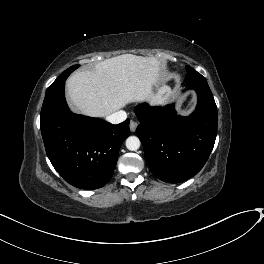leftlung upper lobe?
Returning a JSON list of instances; mask_svg holds the SVG:
<instances>
[{
    "label": "left lung upper lobe",
    "mask_w": 264,
    "mask_h": 264,
    "mask_svg": "<svg viewBox=\"0 0 264 264\" xmlns=\"http://www.w3.org/2000/svg\"><path fill=\"white\" fill-rule=\"evenodd\" d=\"M186 69H187L186 80H203V79H205L201 74H199L192 67L187 66Z\"/></svg>",
    "instance_id": "left-lung-upper-lobe-1"
}]
</instances>
